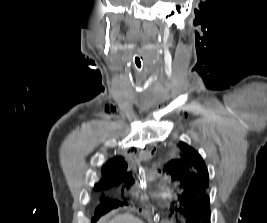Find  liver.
<instances>
[{"label": "liver", "mask_w": 267, "mask_h": 223, "mask_svg": "<svg viewBox=\"0 0 267 223\" xmlns=\"http://www.w3.org/2000/svg\"><path fill=\"white\" fill-rule=\"evenodd\" d=\"M107 223H143V221L130 214H123L116 216Z\"/></svg>", "instance_id": "1"}]
</instances>
